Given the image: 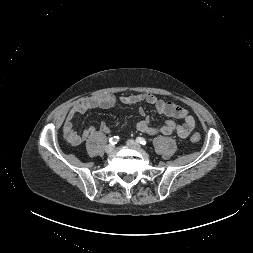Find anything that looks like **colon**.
I'll return each mask as SVG.
<instances>
[{
    "label": "colon",
    "mask_w": 253,
    "mask_h": 253,
    "mask_svg": "<svg viewBox=\"0 0 253 253\" xmlns=\"http://www.w3.org/2000/svg\"><path fill=\"white\" fill-rule=\"evenodd\" d=\"M200 139H201V136H200V134H198V133H194V134L190 137V140H191L192 142H194V143L199 142Z\"/></svg>",
    "instance_id": "5ec220e1"
}]
</instances>
